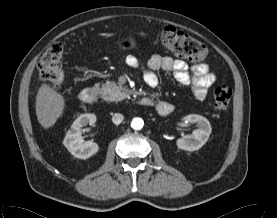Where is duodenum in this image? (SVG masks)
I'll use <instances>...</instances> for the list:
<instances>
[{
  "mask_svg": "<svg viewBox=\"0 0 277 218\" xmlns=\"http://www.w3.org/2000/svg\"><path fill=\"white\" fill-rule=\"evenodd\" d=\"M98 96V90L95 88H84L79 93L80 101L84 104H94L97 100ZM142 104L145 105H151L152 101L149 98H142L141 100ZM157 110L162 115H168L171 112V105L166 102H159L157 104Z\"/></svg>",
  "mask_w": 277,
  "mask_h": 218,
  "instance_id": "duodenum-1",
  "label": "duodenum"
}]
</instances>
